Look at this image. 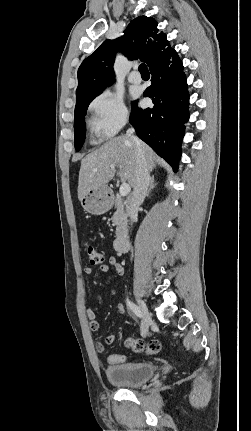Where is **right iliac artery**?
Here are the masks:
<instances>
[{"instance_id":"obj_1","label":"right iliac artery","mask_w":251,"mask_h":431,"mask_svg":"<svg viewBox=\"0 0 251 431\" xmlns=\"http://www.w3.org/2000/svg\"><path fill=\"white\" fill-rule=\"evenodd\" d=\"M127 305L130 307V309L132 310V312H133L137 317H139V318H141V317H142L141 310H140V308H139L138 306H136L135 304H133L132 302H130L128 299H127Z\"/></svg>"}]
</instances>
